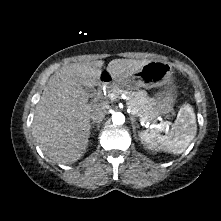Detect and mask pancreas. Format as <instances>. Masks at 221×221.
Returning a JSON list of instances; mask_svg holds the SVG:
<instances>
[{
    "mask_svg": "<svg viewBox=\"0 0 221 221\" xmlns=\"http://www.w3.org/2000/svg\"><path fill=\"white\" fill-rule=\"evenodd\" d=\"M112 93L115 97L120 95H126V105L131 110L132 114H135L143 122L152 121L157 117L156 112L153 109L154 102L147 96L145 91H125L115 86L112 89ZM164 126L160 129L164 130Z\"/></svg>",
    "mask_w": 221,
    "mask_h": 221,
    "instance_id": "1",
    "label": "pancreas"
}]
</instances>
